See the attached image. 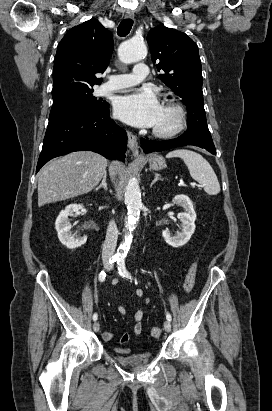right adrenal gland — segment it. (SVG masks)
I'll list each match as a JSON object with an SVG mask.
<instances>
[{
	"label": "right adrenal gland",
	"mask_w": 272,
	"mask_h": 411,
	"mask_svg": "<svg viewBox=\"0 0 272 411\" xmlns=\"http://www.w3.org/2000/svg\"><path fill=\"white\" fill-rule=\"evenodd\" d=\"M106 178H107V173L104 174L101 184L95 190H99L100 188H104V190L107 191L108 188H107Z\"/></svg>",
	"instance_id": "obj_1"
}]
</instances>
